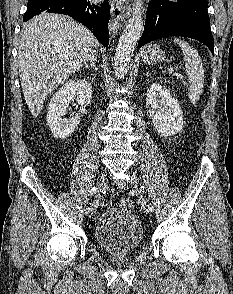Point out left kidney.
<instances>
[{"label":"left kidney","mask_w":233,"mask_h":294,"mask_svg":"<svg viewBox=\"0 0 233 294\" xmlns=\"http://www.w3.org/2000/svg\"><path fill=\"white\" fill-rule=\"evenodd\" d=\"M146 106L152 124L161 136L175 135L183 128V112L178 102L159 83H153L148 89Z\"/></svg>","instance_id":"left-kidney-1"}]
</instances>
